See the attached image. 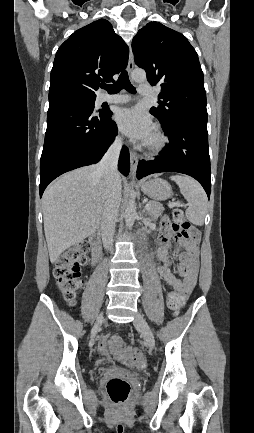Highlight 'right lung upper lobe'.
I'll return each instance as SVG.
<instances>
[{
	"label": "right lung upper lobe",
	"instance_id": "right-lung-upper-lobe-1",
	"mask_svg": "<svg viewBox=\"0 0 254 433\" xmlns=\"http://www.w3.org/2000/svg\"><path fill=\"white\" fill-rule=\"evenodd\" d=\"M129 49L105 19L75 31L58 49L51 70L49 103L96 98L99 86L128 63Z\"/></svg>",
	"mask_w": 254,
	"mask_h": 433
}]
</instances>
